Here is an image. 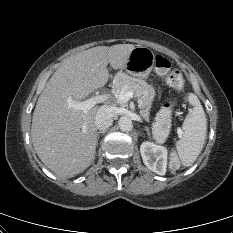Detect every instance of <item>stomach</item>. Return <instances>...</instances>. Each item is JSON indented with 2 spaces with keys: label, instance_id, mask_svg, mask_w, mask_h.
Masks as SVG:
<instances>
[{
  "label": "stomach",
  "instance_id": "obj_1",
  "mask_svg": "<svg viewBox=\"0 0 233 233\" xmlns=\"http://www.w3.org/2000/svg\"><path fill=\"white\" fill-rule=\"evenodd\" d=\"M155 62V54L147 47H135L124 66V70L131 76L145 79L149 76Z\"/></svg>",
  "mask_w": 233,
  "mask_h": 233
}]
</instances>
